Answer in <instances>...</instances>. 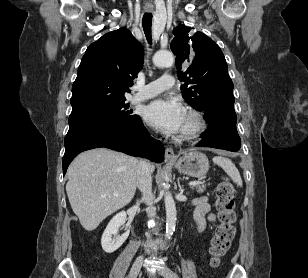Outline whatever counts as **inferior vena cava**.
Returning <instances> with one entry per match:
<instances>
[{
  "mask_svg": "<svg viewBox=\"0 0 308 278\" xmlns=\"http://www.w3.org/2000/svg\"><path fill=\"white\" fill-rule=\"evenodd\" d=\"M151 172V165L149 162L145 159H141L137 172V187L142 192V200L148 205V217H154L156 215V208L153 206L155 197L152 193ZM146 236L150 239V234L147 233ZM147 251H149V249H147Z\"/></svg>",
  "mask_w": 308,
  "mask_h": 278,
  "instance_id": "1",
  "label": "inferior vena cava"
}]
</instances>
